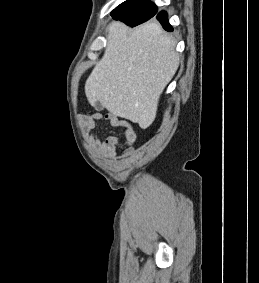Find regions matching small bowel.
Masks as SVG:
<instances>
[{"label": "small bowel", "mask_w": 259, "mask_h": 283, "mask_svg": "<svg viewBox=\"0 0 259 283\" xmlns=\"http://www.w3.org/2000/svg\"><path fill=\"white\" fill-rule=\"evenodd\" d=\"M84 122L85 129L91 134V140L98 145L100 150L106 155V157L113 159L116 156L117 149L123 145H131L136 140V132L131 124L113 113H107L103 115L102 113L95 112L91 115H85L81 117ZM107 120L114 127L124 128V142L121 143L117 137H107L102 142H99L95 135L94 130L96 122Z\"/></svg>", "instance_id": "1"}]
</instances>
